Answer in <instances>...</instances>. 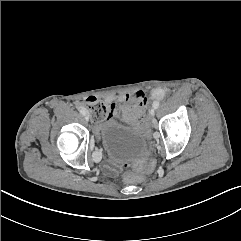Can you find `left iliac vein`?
Here are the masks:
<instances>
[{
	"label": "left iliac vein",
	"instance_id": "obj_1",
	"mask_svg": "<svg viewBox=\"0 0 241 241\" xmlns=\"http://www.w3.org/2000/svg\"><path fill=\"white\" fill-rule=\"evenodd\" d=\"M150 115H151V116H154V115H155V108H152V109L150 110Z\"/></svg>",
	"mask_w": 241,
	"mask_h": 241
}]
</instances>
